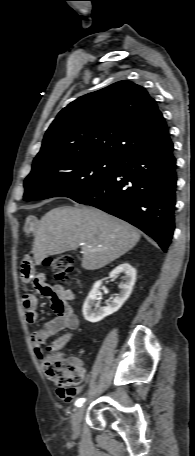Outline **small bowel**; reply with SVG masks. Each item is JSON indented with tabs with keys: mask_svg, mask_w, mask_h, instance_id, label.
Returning <instances> with one entry per match:
<instances>
[{
	"mask_svg": "<svg viewBox=\"0 0 195 456\" xmlns=\"http://www.w3.org/2000/svg\"><path fill=\"white\" fill-rule=\"evenodd\" d=\"M35 226V217L29 216L25 219L23 232L26 237H29L33 233ZM21 280L25 284L32 283L41 295L47 297L57 314L55 319L40 326L30 335L31 342L35 346L36 354L39 358H42V344L59 332L67 331L54 339L48 348L52 351H59L70 343L73 338L72 332L79 327L78 316L70 305V302L75 299V294L72 290L61 285H49L44 273H36L34 271L29 258H26L21 266ZM21 303L26 322L33 325L37 320V297L31 293L25 294L21 299ZM76 360L80 363V360ZM53 383L56 386L57 396L66 402L72 401L82 391L81 387H64L56 381H53Z\"/></svg>",
	"mask_w": 195,
	"mask_h": 456,
	"instance_id": "c3829d8e",
	"label": "small bowel"
}]
</instances>
